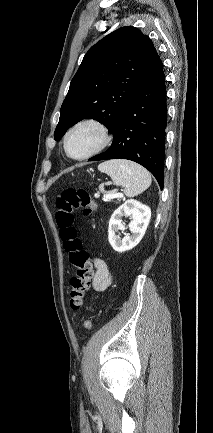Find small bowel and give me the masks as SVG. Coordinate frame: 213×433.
<instances>
[{"mask_svg": "<svg viewBox=\"0 0 213 433\" xmlns=\"http://www.w3.org/2000/svg\"><path fill=\"white\" fill-rule=\"evenodd\" d=\"M95 273L92 277V288L95 291H104L112 283V275L106 262L100 258H94Z\"/></svg>", "mask_w": 213, "mask_h": 433, "instance_id": "c3829d8e", "label": "small bowel"}]
</instances>
